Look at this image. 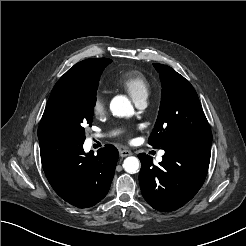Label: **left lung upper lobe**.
I'll return each instance as SVG.
<instances>
[{
    "mask_svg": "<svg viewBox=\"0 0 246 246\" xmlns=\"http://www.w3.org/2000/svg\"><path fill=\"white\" fill-rule=\"evenodd\" d=\"M153 65L160 74L162 99L148 143L161 149L177 142L211 143L212 133L193 86L171 67Z\"/></svg>",
    "mask_w": 246,
    "mask_h": 246,
    "instance_id": "obj_1",
    "label": "left lung upper lobe"
}]
</instances>
